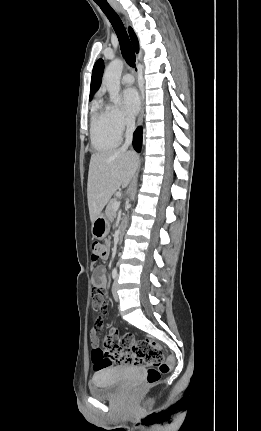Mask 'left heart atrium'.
Segmentation results:
<instances>
[{
  "mask_svg": "<svg viewBox=\"0 0 261 431\" xmlns=\"http://www.w3.org/2000/svg\"><path fill=\"white\" fill-rule=\"evenodd\" d=\"M122 104L125 112L133 117L140 108V97L135 88H126L122 93Z\"/></svg>",
  "mask_w": 261,
  "mask_h": 431,
  "instance_id": "obj_1",
  "label": "left heart atrium"
}]
</instances>
